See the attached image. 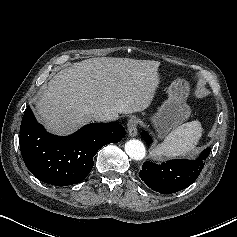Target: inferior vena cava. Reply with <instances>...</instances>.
<instances>
[{
	"instance_id": "obj_1",
	"label": "inferior vena cava",
	"mask_w": 237,
	"mask_h": 237,
	"mask_svg": "<svg viewBox=\"0 0 237 237\" xmlns=\"http://www.w3.org/2000/svg\"><path fill=\"white\" fill-rule=\"evenodd\" d=\"M94 119L98 120V121H113L115 119H117V114L115 112H110V111H99V112H95L93 114Z\"/></svg>"
}]
</instances>
